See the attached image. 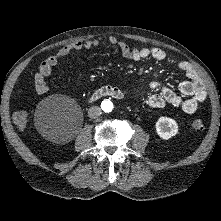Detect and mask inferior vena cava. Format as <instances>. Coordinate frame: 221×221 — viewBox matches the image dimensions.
<instances>
[{"mask_svg": "<svg viewBox=\"0 0 221 221\" xmlns=\"http://www.w3.org/2000/svg\"><path fill=\"white\" fill-rule=\"evenodd\" d=\"M102 114V110L99 106H92L88 110V116L92 119L98 118Z\"/></svg>", "mask_w": 221, "mask_h": 221, "instance_id": "1", "label": "inferior vena cava"}]
</instances>
